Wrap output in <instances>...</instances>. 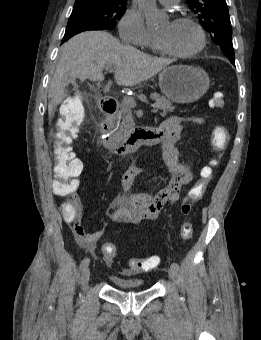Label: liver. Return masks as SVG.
<instances>
[{"label":"liver","mask_w":261,"mask_h":340,"mask_svg":"<svg viewBox=\"0 0 261 340\" xmlns=\"http://www.w3.org/2000/svg\"><path fill=\"white\" fill-rule=\"evenodd\" d=\"M171 62L123 45L105 31L80 33L65 43L53 75L48 94L49 119L54 116V108L67 96L66 87L75 78L103 81L102 69L109 65L115 68L117 85L134 86L155 76Z\"/></svg>","instance_id":"obj_1"}]
</instances>
